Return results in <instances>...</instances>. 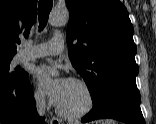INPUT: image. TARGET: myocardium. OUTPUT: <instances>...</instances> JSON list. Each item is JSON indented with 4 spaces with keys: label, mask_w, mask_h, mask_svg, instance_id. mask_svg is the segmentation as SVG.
<instances>
[{
    "label": "myocardium",
    "mask_w": 156,
    "mask_h": 124,
    "mask_svg": "<svg viewBox=\"0 0 156 124\" xmlns=\"http://www.w3.org/2000/svg\"><path fill=\"white\" fill-rule=\"evenodd\" d=\"M70 81L77 84L84 90L86 97H87V103L85 107L82 110L75 112V113H68L62 110L58 106V104L55 105V109L58 115L66 120H80L86 117L87 115H89L94 110L95 104H96L95 95H94L92 88L84 80L74 77V78H71Z\"/></svg>",
    "instance_id": "myocardium-1"
}]
</instances>
